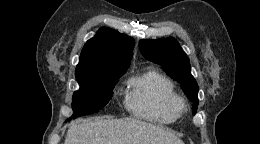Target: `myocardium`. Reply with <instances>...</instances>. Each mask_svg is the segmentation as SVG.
I'll return each mask as SVG.
<instances>
[{
	"instance_id": "obj_1",
	"label": "myocardium",
	"mask_w": 260,
	"mask_h": 144,
	"mask_svg": "<svg viewBox=\"0 0 260 144\" xmlns=\"http://www.w3.org/2000/svg\"><path fill=\"white\" fill-rule=\"evenodd\" d=\"M177 110L179 114H182L186 111V104L184 101L180 100L178 105H177Z\"/></svg>"
}]
</instances>
